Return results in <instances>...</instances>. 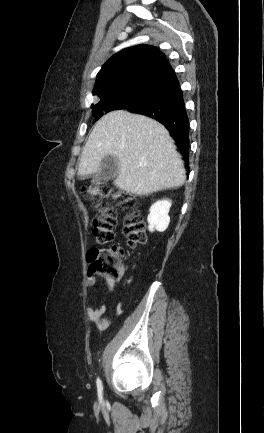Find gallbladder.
I'll return each instance as SVG.
<instances>
[{"instance_id": "obj_1", "label": "gallbladder", "mask_w": 264, "mask_h": 433, "mask_svg": "<svg viewBox=\"0 0 264 433\" xmlns=\"http://www.w3.org/2000/svg\"><path fill=\"white\" fill-rule=\"evenodd\" d=\"M118 160L115 156L107 155L101 162V169L95 174L93 183L96 185L105 184L118 175Z\"/></svg>"}]
</instances>
